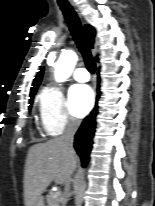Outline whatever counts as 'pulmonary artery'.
<instances>
[{"label": "pulmonary artery", "mask_w": 155, "mask_h": 206, "mask_svg": "<svg viewBox=\"0 0 155 206\" xmlns=\"http://www.w3.org/2000/svg\"><path fill=\"white\" fill-rule=\"evenodd\" d=\"M73 77L78 82H87L90 79V76L87 72V70L83 67H80L75 70Z\"/></svg>", "instance_id": "e3ab8cb5"}]
</instances>
